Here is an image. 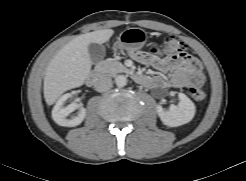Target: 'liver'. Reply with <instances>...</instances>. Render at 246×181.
<instances>
[{"mask_svg": "<svg viewBox=\"0 0 246 181\" xmlns=\"http://www.w3.org/2000/svg\"><path fill=\"white\" fill-rule=\"evenodd\" d=\"M113 33L112 29H103L79 35L57 52L44 77V98L48 105L54 104L65 91L84 84L91 70L89 44H103Z\"/></svg>", "mask_w": 246, "mask_h": 181, "instance_id": "6515ba94", "label": "liver"}]
</instances>
